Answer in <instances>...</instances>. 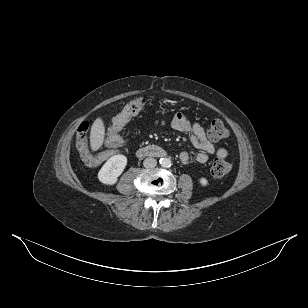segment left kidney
<instances>
[{"mask_svg":"<svg viewBox=\"0 0 308 308\" xmlns=\"http://www.w3.org/2000/svg\"><path fill=\"white\" fill-rule=\"evenodd\" d=\"M199 182L204 187L208 185V180L206 178H204V177L200 178Z\"/></svg>","mask_w":308,"mask_h":308,"instance_id":"5707ae66","label":"left kidney"}]
</instances>
